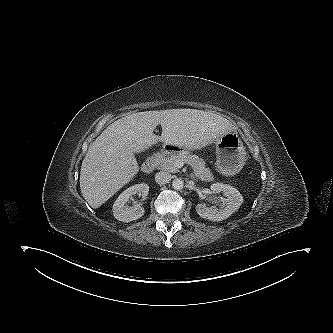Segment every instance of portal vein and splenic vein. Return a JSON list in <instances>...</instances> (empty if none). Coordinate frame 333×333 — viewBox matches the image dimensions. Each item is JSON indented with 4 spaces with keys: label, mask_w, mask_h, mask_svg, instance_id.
<instances>
[{
    "label": "portal vein and splenic vein",
    "mask_w": 333,
    "mask_h": 333,
    "mask_svg": "<svg viewBox=\"0 0 333 333\" xmlns=\"http://www.w3.org/2000/svg\"><path fill=\"white\" fill-rule=\"evenodd\" d=\"M175 165H176L178 168H181V167L184 165V162L181 161V160H177V161L175 162Z\"/></svg>",
    "instance_id": "1"
}]
</instances>
